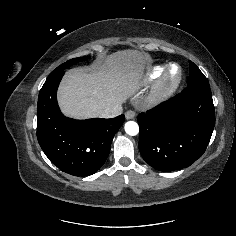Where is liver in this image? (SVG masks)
<instances>
[{
	"instance_id": "6515ba94",
	"label": "liver",
	"mask_w": 236,
	"mask_h": 236,
	"mask_svg": "<svg viewBox=\"0 0 236 236\" xmlns=\"http://www.w3.org/2000/svg\"><path fill=\"white\" fill-rule=\"evenodd\" d=\"M144 56L135 50L118 51L103 65L68 71L59 87L58 101L69 117H101L109 107L124 102L137 88Z\"/></svg>"
}]
</instances>
